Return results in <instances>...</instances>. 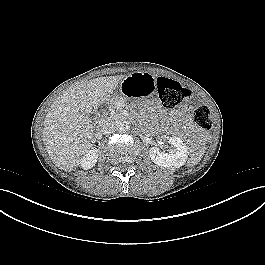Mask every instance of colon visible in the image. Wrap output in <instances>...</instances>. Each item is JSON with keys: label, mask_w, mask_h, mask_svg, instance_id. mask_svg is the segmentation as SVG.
<instances>
[{"label": "colon", "mask_w": 265, "mask_h": 265, "mask_svg": "<svg viewBox=\"0 0 265 265\" xmlns=\"http://www.w3.org/2000/svg\"><path fill=\"white\" fill-rule=\"evenodd\" d=\"M157 90L161 103L167 110H172L180 104L191 103L194 99L189 89L166 77L157 79ZM193 120L201 129L206 131L211 129L212 123L207 107L198 106L193 112Z\"/></svg>", "instance_id": "colon-1"}]
</instances>
